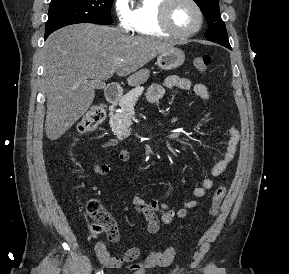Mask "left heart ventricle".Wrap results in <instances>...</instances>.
<instances>
[{"label":"left heart ventricle","instance_id":"b2bd125f","mask_svg":"<svg viewBox=\"0 0 289 274\" xmlns=\"http://www.w3.org/2000/svg\"><path fill=\"white\" fill-rule=\"evenodd\" d=\"M170 20L177 30L188 31L197 26L198 15L187 0H177L172 6Z\"/></svg>","mask_w":289,"mask_h":274}]
</instances>
